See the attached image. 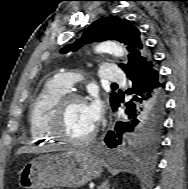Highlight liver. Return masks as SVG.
I'll return each instance as SVG.
<instances>
[{"label":"liver","mask_w":188,"mask_h":189,"mask_svg":"<svg viewBox=\"0 0 188 189\" xmlns=\"http://www.w3.org/2000/svg\"><path fill=\"white\" fill-rule=\"evenodd\" d=\"M29 150H33V149H30V148H28V147H21V148H19L18 150H17V152H16V155H20V154H22V153H25V152H27V151H29ZM66 151H77V150H74V149H66Z\"/></svg>","instance_id":"6515ba94"}]
</instances>
